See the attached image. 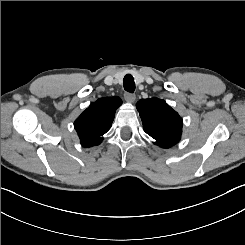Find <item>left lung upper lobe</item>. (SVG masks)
Wrapping results in <instances>:
<instances>
[{"label":"left lung upper lobe","instance_id":"1","mask_svg":"<svg viewBox=\"0 0 245 245\" xmlns=\"http://www.w3.org/2000/svg\"><path fill=\"white\" fill-rule=\"evenodd\" d=\"M144 131L162 148L177 144L181 138L183 120L159 98L142 99L136 104Z\"/></svg>","mask_w":245,"mask_h":245}]
</instances>
